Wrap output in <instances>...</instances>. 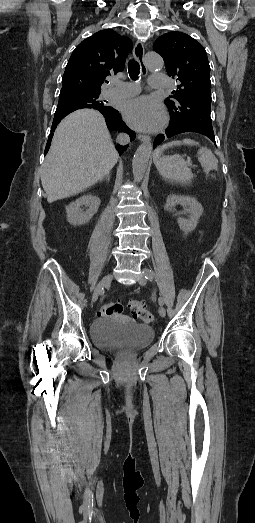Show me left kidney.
I'll list each match as a JSON object with an SVG mask.
<instances>
[{"mask_svg":"<svg viewBox=\"0 0 255 523\" xmlns=\"http://www.w3.org/2000/svg\"><path fill=\"white\" fill-rule=\"evenodd\" d=\"M176 204L184 206L187 214H190L189 220H185V218H178L177 220L180 230L185 232V234H188V232L195 230L198 220L203 212V208L201 204L197 202L196 198H191V196H175V194H170V196H168L164 208L165 210L172 212Z\"/></svg>","mask_w":255,"mask_h":523,"instance_id":"1","label":"left kidney"}]
</instances>
